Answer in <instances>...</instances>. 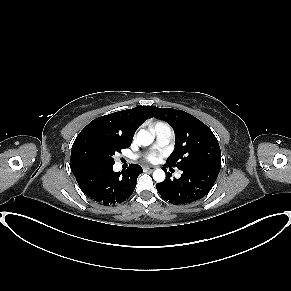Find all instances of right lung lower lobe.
I'll list each match as a JSON object with an SVG mask.
<instances>
[{
	"label": "right lung lower lobe",
	"instance_id": "obj_1",
	"mask_svg": "<svg viewBox=\"0 0 291 291\" xmlns=\"http://www.w3.org/2000/svg\"><path fill=\"white\" fill-rule=\"evenodd\" d=\"M143 172L140 165L131 164L122 176L113 167L84 171L76 176L81 190L93 201L110 206L127 200L133 193L137 177Z\"/></svg>",
	"mask_w": 291,
	"mask_h": 291
}]
</instances>
